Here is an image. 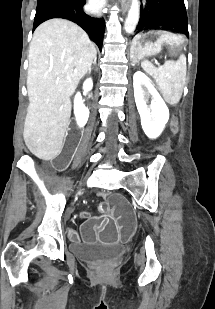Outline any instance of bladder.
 <instances>
[{
	"instance_id": "bladder-1",
	"label": "bladder",
	"mask_w": 215,
	"mask_h": 309,
	"mask_svg": "<svg viewBox=\"0 0 215 309\" xmlns=\"http://www.w3.org/2000/svg\"><path fill=\"white\" fill-rule=\"evenodd\" d=\"M69 249L79 260L87 263L114 262L123 255V249L118 246L74 243Z\"/></svg>"
}]
</instances>
